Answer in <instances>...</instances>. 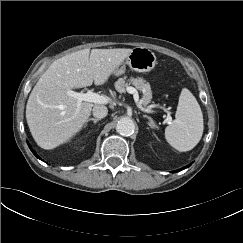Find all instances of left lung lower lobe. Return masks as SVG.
Returning <instances> with one entry per match:
<instances>
[{"label": "left lung lower lobe", "mask_w": 243, "mask_h": 243, "mask_svg": "<svg viewBox=\"0 0 243 243\" xmlns=\"http://www.w3.org/2000/svg\"><path fill=\"white\" fill-rule=\"evenodd\" d=\"M190 165H191V164H190ZM190 165H187V166H185V167H183V168H181V169H179V170L173 171V172H178V171H181V170H183V169H185V168L189 167Z\"/></svg>", "instance_id": "obj_1"}]
</instances>
